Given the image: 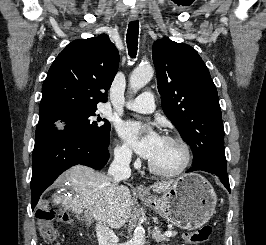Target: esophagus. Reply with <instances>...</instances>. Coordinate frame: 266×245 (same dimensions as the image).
Wrapping results in <instances>:
<instances>
[{"instance_id": "obj_1", "label": "esophagus", "mask_w": 266, "mask_h": 245, "mask_svg": "<svg viewBox=\"0 0 266 245\" xmlns=\"http://www.w3.org/2000/svg\"><path fill=\"white\" fill-rule=\"evenodd\" d=\"M130 19H137L138 17V13L137 12H130L129 15ZM136 193L138 195H146L148 192L146 191V189L143 187V185H138L136 187Z\"/></svg>"}]
</instances>
